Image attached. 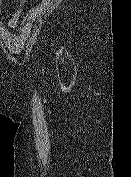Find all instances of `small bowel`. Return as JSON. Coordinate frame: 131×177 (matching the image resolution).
<instances>
[{"instance_id":"small-bowel-1","label":"small bowel","mask_w":131,"mask_h":177,"mask_svg":"<svg viewBox=\"0 0 131 177\" xmlns=\"http://www.w3.org/2000/svg\"><path fill=\"white\" fill-rule=\"evenodd\" d=\"M20 1L24 3L26 0H20ZM19 16H20V11H17L16 13H14L8 22V26L13 27L17 23Z\"/></svg>"}]
</instances>
